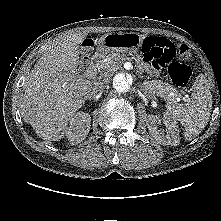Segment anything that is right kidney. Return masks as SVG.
Here are the masks:
<instances>
[{"label":"right kidney","mask_w":221,"mask_h":221,"mask_svg":"<svg viewBox=\"0 0 221 221\" xmlns=\"http://www.w3.org/2000/svg\"><path fill=\"white\" fill-rule=\"evenodd\" d=\"M91 126V117L88 113L78 112L70 119L66 136L71 144L82 142L88 135Z\"/></svg>","instance_id":"ca27d5eb"}]
</instances>
